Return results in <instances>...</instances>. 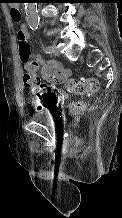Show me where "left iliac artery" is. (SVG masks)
Instances as JSON below:
<instances>
[{"label": "left iliac artery", "mask_w": 122, "mask_h": 218, "mask_svg": "<svg viewBox=\"0 0 122 218\" xmlns=\"http://www.w3.org/2000/svg\"><path fill=\"white\" fill-rule=\"evenodd\" d=\"M45 51H46V53H48V54L52 53V51H53L52 46H47V47L45 48Z\"/></svg>", "instance_id": "obj_1"}]
</instances>
